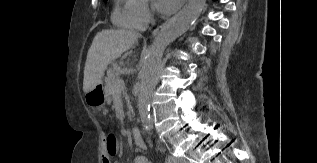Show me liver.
I'll return each mask as SVG.
<instances>
[{
  "label": "liver",
  "instance_id": "1",
  "mask_svg": "<svg viewBox=\"0 0 317 163\" xmlns=\"http://www.w3.org/2000/svg\"><path fill=\"white\" fill-rule=\"evenodd\" d=\"M138 37L139 33L123 29H104L95 35L84 68L85 93L102 83L108 64L129 50L137 42Z\"/></svg>",
  "mask_w": 317,
  "mask_h": 163
}]
</instances>
